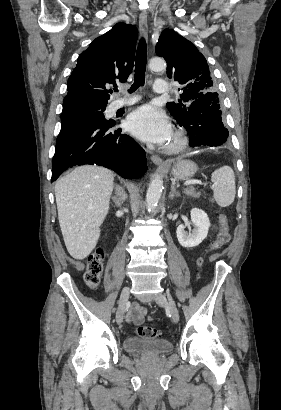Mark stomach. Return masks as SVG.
I'll list each match as a JSON object with an SVG mask.
<instances>
[{"mask_svg":"<svg viewBox=\"0 0 281 410\" xmlns=\"http://www.w3.org/2000/svg\"><path fill=\"white\" fill-rule=\"evenodd\" d=\"M198 170L196 163L190 160H179L171 167V174L176 179L187 180L195 175Z\"/></svg>","mask_w":281,"mask_h":410,"instance_id":"0dacf381","label":"stomach"}]
</instances>
